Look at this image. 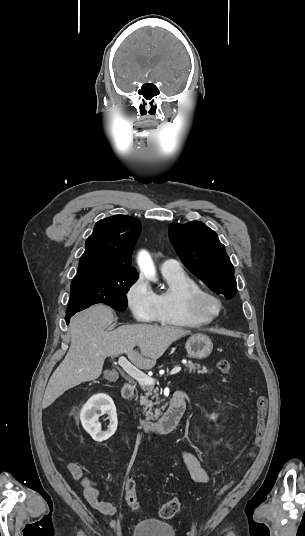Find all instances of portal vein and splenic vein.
<instances>
[{
    "label": "portal vein and splenic vein",
    "instance_id": "portal-vein-and-splenic-vein-1",
    "mask_svg": "<svg viewBox=\"0 0 305 536\" xmlns=\"http://www.w3.org/2000/svg\"><path fill=\"white\" fill-rule=\"evenodd\" d=\"M118 364L121 366V368H123V370H125V372H127V374H129V376H131V378L137 380L140 386H151V384H155L156 380H154V378H150V376H146V374H143V372L137 370V368L132 366V364H130V362H128L124 356L119 358ZM180 370L181 368H179V366H177V368H173V370L170 372V376H172V374H178ZM159 374H164V372H159Z\"/></svg>",
    "mask_w": 305,
    "mask_h": 536
}]
</instances>
